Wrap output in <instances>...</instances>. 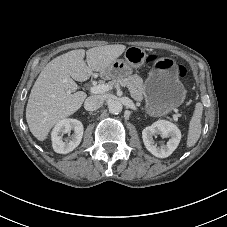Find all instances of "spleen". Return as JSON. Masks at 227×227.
Instances as JSON below:
<instances>
[{"label":"spleen","instance_id":"obj_1","mask_svg":"<svg viewBox=\"0 0 227 227\" xmlns=\"http://www.w3.org/2000/svg\"><path fill=\"white\" fill-rule=\"evenodd\" d=\"M202 112L203 105L201 103H197L191 121L189 123L188 137L186 143L187 148L193 147L197 143L201 135Z\"/></svg>","mask_w":227,"mask_h":227}]
</instances>
